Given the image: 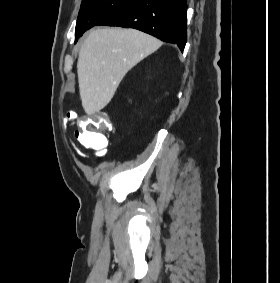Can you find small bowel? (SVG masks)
Listing matches in <instances>:
<instances>
[{
    "mask_svg": "<svg viewBox=\"0 0 280 283\" xmlns=\"http://www.w3.org/2000/svg\"><path fill=\"white\" fill-rule=\"evenodd\" d=\"M73 122H72V119L69 117V115H68V117L67 118H65V121H64V124H65V126H67V125H70V124H72ZM78 154L81 156V153H79L78 152Z\"/></svg>",
    "mask_w": 280,
    "mask_h": 283,
    "instance_id": "small-bowel-1",
    "label": "small bowel"
}]
</instances>
